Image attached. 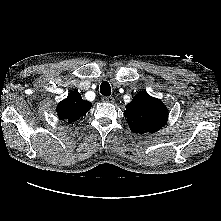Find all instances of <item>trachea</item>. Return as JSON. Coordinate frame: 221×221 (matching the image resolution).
<instances>
[{"instance_id": "trachea-1", "label": "trachea", "mask_w": 221, "mask_h": 221, "mask_svg": "<svg viewBox=\"0 0 221 221\" xmlns=\"http://www.w3.org/2000/svg\"><path fill=\"white\" fill-rule=\"evenodd\" d=\"M100 92L104 96H110V94H111V86H110V84L107 81L103 82L100 85Z\"/></svg>"}]
</instances>
